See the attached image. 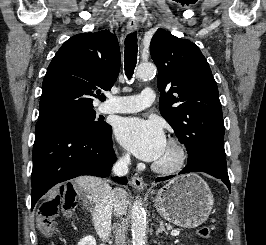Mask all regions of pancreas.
<instances>
[{"mask_svg": "<svg viewBox=\"0 0 266 245\" xmlns=\"http://www.w3.org/2000/svg\"><path fill=\"white\" fill-rule=\"evenodd\" d=\"M175 231H180V229H175Z\"/></svg>", "mask_w": 266, "mask_h": 245, "instance_id": "pancreas-1", "label": "pancreas"}]
</instances>
